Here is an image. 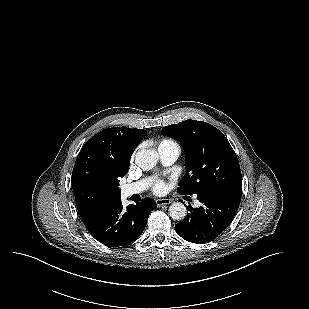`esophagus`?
<instances>
[{
    "label": "esophagus",
    "instance_id": "1",
    "mask_svg": "<svg viewBox=\"0 0 309 309\" xmlns=\"http://www.w3.org/2000/svg\"><path fill=\"white\" fill-rule=\"evenodd\" d=\"M171 203V200L170 199H167V198H163V199H157L156 200V205L158 207H161L163 205H168Z\"/></svg>",
    "mask_w": 309,
    "mask_h": 309
}]
</instances>
